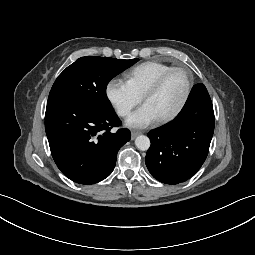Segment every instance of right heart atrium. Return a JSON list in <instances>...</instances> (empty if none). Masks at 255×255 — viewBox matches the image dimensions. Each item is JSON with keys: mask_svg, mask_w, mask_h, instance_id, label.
<instances>
[{"mask_svg": "<svg viewBox=\"0 0 255 255\" xmlns=\"http://www.w3.org/2000/svg\"><path fill=\"white\" fill-rule=\"evenodd\" d=\"M105 93L108 101L121 117L128 116L131 110L143 98L127 81L120 78L109 80L105 88Z\"/></svg>", "mask_w": 255, "mask_h": 255, "instance_id": "d8ad5b80", "label": "right heart atrium"}]
</instances>
